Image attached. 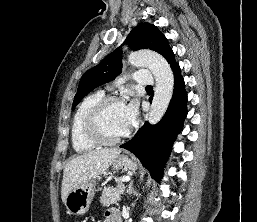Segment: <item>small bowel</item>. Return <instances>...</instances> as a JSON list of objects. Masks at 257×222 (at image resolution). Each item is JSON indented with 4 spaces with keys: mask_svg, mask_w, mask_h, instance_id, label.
Returning a JSON list of instances; mask_svg holds the SVG:
<instances>
[{
    "mask_svg": "<svg viewBox=\"0 0 257 222\" xmlns=\"http://www.w3.org/2000/svg\"><path fill=\"white\" fill-rule=\"evenodd\" d=\"M106 222H118L117 212L113 209H110L106 212Z\"/></svg>",
    "mask_w": 257,
    "mask_h": 222,
    "instance_id": "1",
    "label": "small bowel"
}]
</instances>
